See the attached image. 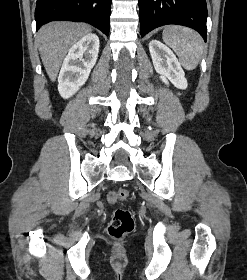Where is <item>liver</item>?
<instances>
[{
  "label": "liver",
  "mask_w": 247,
  "mask_h": 280,
  "mask_svg": "<svg viewBox=\"0 0 247 280\" xmlns=\"http://www.w3.org/2000/svg\"><path fill=\"white\" fill-rule=\"evenodd\" d=\"M91 28L84 23L67 21L51 22L40 28L37 44L45 70L51 81H55L63 59L70 48Z\"/></svg>",
  "instance_id": "liver-1"
}]
</instances>
